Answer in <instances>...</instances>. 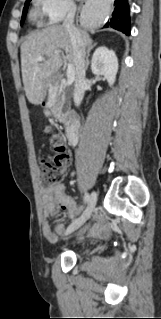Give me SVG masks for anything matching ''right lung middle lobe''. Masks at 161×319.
<instances>
[{
	"mask_svg": "<svg viewBox=\"0 0 161 319\" xmlns=\"http://www.w3.org/2000/svg\"><path fill=\"white\" fill-rule=\"evenodd\" d=\"M30 1L31 0H26V2H25V7L23 9V15H22V20H21V25L23 24V21H24V18H25L27 9H28V4H29Z\"/></svg>",
	"mask_w": 161,
	"mask_h": 319,
	"instance_id": "dd1d6c3e",
	"label": "right lung middle lobe"
}]
</instances>
